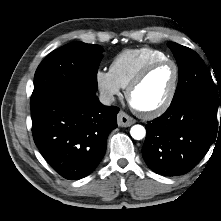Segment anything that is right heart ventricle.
<instances>
[{"mask_svg": "<svg viewBox=\"0 0 221 221\" xmlns=\"http://www.w3.org/2000/svg\"><path fill=\"white\" fill-rule=\"evenodd\" d=\"M165 58L163 52L149 47L126 49L112 60L110 73L121 88H126L146 64Z\"/></svg>", "mask_w": 221, "mask_h": 221, "instance_id": "right-heart-ventricle-1", "label": "right heart ventricle"}]
</instances>
